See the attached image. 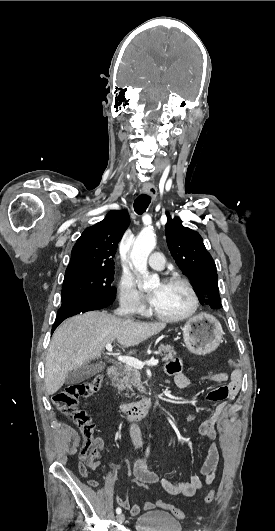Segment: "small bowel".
<instances>
[{
  "instance_id": "c3829d8e",
  "label": "small bowel",
  "mask_w": 275,
  "mask_h": 531,
  "mask_svg": "<svg viewBox=\"0 0 275 531\" xmlns=\"http://www.w3.org/2000/svg\"><path fill=\"white\" fill-rule=\"evenodd\" d=\"M166 372L173 376L174 386L179 390L186 389L192 384V379L183 372V361L180 358H174L169 361L166 365ZM241 378V371L234 370L231 373H213L203 377L201 380L210 381L217 384H226V387L229 389L228 398L229 401H231L238 394ZM229 401L220 403L217 406L214 414L201 424L199 433L203 438L210 440L216 439V423L227 409ZM194 417V414H188L184 417V420L188 421ZM89 458H97L99 460L100 455L98 452H94ZM219 459V449L215 443H211L208 447L205 460L201 466L200 475H190L188 481H175L169 478L160 479L154 471L148 468L146 459L143 456H140L134 466V476L136 480H144L146 482V486L160 483L164 490L171 495H183L186 497H191L196 491L201 490L204 486L210 484L214 480L219 467ZM171 464L178 468V459L172 458ZM82 476L84 477V475ZM116 501L121 508L128 510L131 516L139 515L142 510L152 511L155 507L154 503L150 501L145 502L142 507L137 504L131 505L128 495H120L117 497Z\"/></svg>"
}]
</instances>
